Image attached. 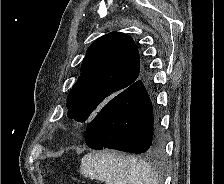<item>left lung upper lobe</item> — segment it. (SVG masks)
Instances as JSON below:
<instances>
[{"label": "left lung upper lobe", "mask_w": 224, "mask_h": 184, "mask_svg": "<svg viewBox=\"0 0 224 184\" xmlns=\"http://www.w3.org/2000/svg\"><path fill=\"white\" fill-rule=\"evenodd\" d=\"M139 77L138 49L129 35L111 32L98 38L88 48L81 76L68 95V118L89 122Z\"/></svg>", "instance_id": "5c2ea615"}]
</instances>
